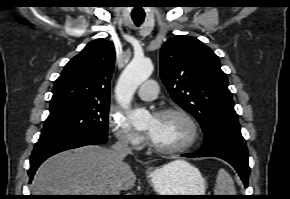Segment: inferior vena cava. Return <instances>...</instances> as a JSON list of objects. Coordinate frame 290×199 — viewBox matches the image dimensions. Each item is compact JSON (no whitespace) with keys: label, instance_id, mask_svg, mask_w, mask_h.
<instances>
[{"label":"inferior vena cava","instance_id":"1","mask_svg":"<svg viewBox=\"0 0 290 199\" xmlns=\"http://www.w3.org/2000/svg\"><path fill=\"white\" fill-rule=\"evenodd\" d=\"M112 151L117 155L118 158L122 159L128 154H132V150L128 145V139L122 136L113 146ZM119 195V193H117Z\"/></svg>","mask_w":290,"mask_h":199}]
</instances>
